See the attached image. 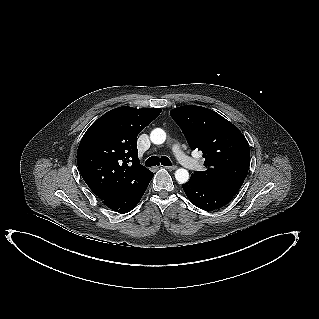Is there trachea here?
<instances>
[{"label": "trachea", "mask_w": 319, "mask_h": 319, "mask_svg": "<svg viewBox=\"0 0 319 319\" xmlns=\"http://www.w3.org/2000/svg\"><path fill=\"white\" fill-rule=\"evenodd\" d=\"M160 163L164 166H172L171 161L166 156H162L161 158L157 156H152L148 158L147 161L145 162L146 166L148 167L160 165Z\"/></svg>", "instance_id": "obj_1"}]
</instances>
